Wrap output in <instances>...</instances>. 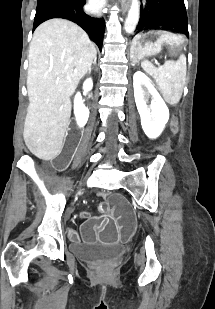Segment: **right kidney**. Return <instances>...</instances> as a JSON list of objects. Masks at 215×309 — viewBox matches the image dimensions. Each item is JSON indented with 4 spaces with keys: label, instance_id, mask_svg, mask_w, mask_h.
Wrapping results in <instances>:
<instances>
[{
    "label": "right kidney",
    "instance_id": "obj_1",
    "mask_svg": "<svg viewBox=\"0 0 215 309\" xmlns=\"http://www.w3.org/2000/svg\"><path fill=\"white\" fill-rule=\"evenodd\" d=\"M83 88H85V90H91V88H93L92 78H86V80H84ZM74 102L75 104L76 102L79 104V114H76L74 110L77 124H79V126H84L89 118V108H86L85 104H83L81 92H77V94H75Z\"/></svg>",
    "mask_w": 215,
    "mask_h": 309
}]
</instances>
